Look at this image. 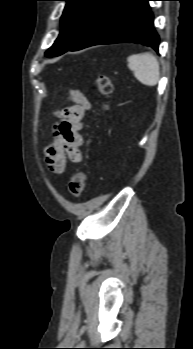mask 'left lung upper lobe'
<instances>
[{
	"instance_id": "5c2ea615",
	"label": "left lung upper lobe",
	"mask_w": 193,
	"mask_h": 349,
	"mask_svg": "<svg viewBox=\"0 0 193 349\" xmlns=\"http://www.w3.org/2000/svg\"><path fill=\"white\" fill-rule=\"evenodd\" d=\"M66 1L61 17L62 30L45 55L59 56L72 48L91 22L98 16L110 0H62Z\"/></svg>"
}]
</instances>
